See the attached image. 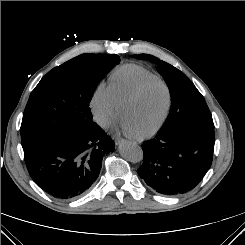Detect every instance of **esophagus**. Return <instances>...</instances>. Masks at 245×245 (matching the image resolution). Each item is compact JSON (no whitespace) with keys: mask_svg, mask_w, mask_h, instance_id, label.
Wrapping results in <instances>:
<instances>
[{"mask_svg":"<svg viewBox=\"0 0 245 245\" xmlns=\"http://www.w3.org/2000/svg\"><path fill=\"white\" fill-rule=\"evenodd\" d=\"M114 140L117 145L124 141L122 137H118V136L114 137Z\"/></svg>","mask_w":245,"mask_h":245,"instance_id":"esophagus-1","label":"esophagus"}]
</instances>
